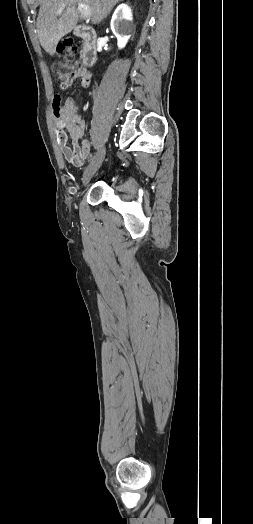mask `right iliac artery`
Wrapping results in <instances>:
<instances>
[{
    "instance_id": "82829eb1",
    "label": "right iliac artery",
    "mask_w": 253,
    "mask_h": 524,
    "mask_svg": "<svg viewBox=\"0 0 253 524\" xmlns=\"http://www.w3.org/2000/svg\"><path fill=\"white\" fill-rule=\"evenodd\" d=\"M93 158H94V154H93V153H91V154H90V156H89V159H88V161H91V160H92Z\"/></svg>"
}]
</instances>
